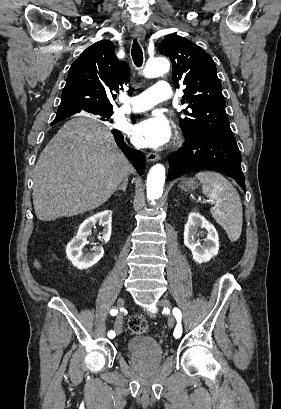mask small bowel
Wrapping results in <instances>:
<instances>
[{"instance_id":"small-bowel-1","label":"small bowel","mask_w":281,"mask_h":409,"mask_svg":"<svg viewBox=\"0 0 281 409\" xmlns=\"http://www.w3.org/2000/svg\"><path fill=\"white\" fill-rule=\"evenodd\" d=\"M37 267L40 268V264H37Z\"/></svg>"}]
</instances>
